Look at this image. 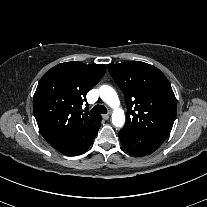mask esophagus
<instances>
[{"instance_id": "34e87169", "label": "esophagus", "mask_w": 207, "mask_h": 207, "mask_svg": "<svg viewBox=\"0 0 207 207\" xmlns=\"http://www.w3.org/2000/svg\"><path fill=\"white\" fill-rule=\"evenodd\" d=\"M103 118H104L105 120L109 119V114H104V115H103Z\"/></svg>"}]
</instances>
